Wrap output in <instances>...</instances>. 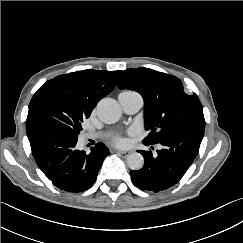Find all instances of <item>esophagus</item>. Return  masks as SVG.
<instances>
[{
  "label": "esophagus",
  "mask_w": 243,
  "mask_h": 243,
  "mask_svg": "<svg viewBox=\"0 0 243 243\" xmlns=\"http://www.w3.org/2000/svg\"><path fill=\"white\" fill-rule=\"evenodd\" d=\"M116 153L121 155L122 157H127L130 154L129 151H116Z\"/></svg>",
  "instance_id": "esophagus-1"
}]
</instances>
